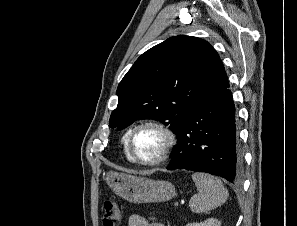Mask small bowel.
Masks as SVG:
<instances>
[{"mask_svg":"<svg viewBox=\"0 0 297 226\" xmlns=\"http://www.w3.org/2000/svg\"><path fill=\"white\" fill-rule=\"evenodd\" d=\"M128 226H165V225L157 221H148L142 215L133 214L128 219Z\"/></svg>","mask_w":297,"mask_h":226,"instance_id":"obj_1","label":"small bowel"}]
</instances>
